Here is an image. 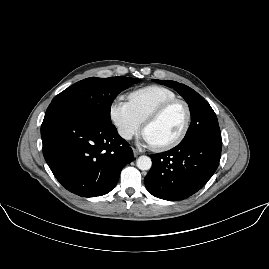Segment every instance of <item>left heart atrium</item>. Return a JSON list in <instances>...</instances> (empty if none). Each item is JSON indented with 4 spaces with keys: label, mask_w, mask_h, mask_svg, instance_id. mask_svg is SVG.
<instances>
[{
    "label": "left heart atrium",
    "mask_w": 269,
    "mask_h": 269,
    "mask_svg": "<svg viewBox=\"0 0 269 269\" xmlns=\"http://www.w3.org/2000/svg\"><path fill=\"white\" fill-rule=\"evenodd\" d=\"M145 141L148 142V143H150V141L148 140V138L146 136H145Z\"/></svg>",
    "instance_id": "left-heart-atrium-1"
}]
</instances>
